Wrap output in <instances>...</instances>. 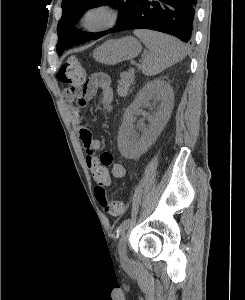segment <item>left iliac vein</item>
Wrapping results in <instances>:
<instances>
[{
	"label": "left iliac vein",
	"mask_w": 245,
	"mask_h": 300,
	"mask_svg": "<svg viewBox=\"0 0 245 300\" xmlns=\"http://www.w3.org/2000/svg\"><path fill=\"white\" fill-rule=\"evenodd\" d=\"M126 242H127V233L124 232L118 243V252H119L120 259L125 262L128 260Z\"/></svg>",
	"instance_id": "1"
}]
</instances>
